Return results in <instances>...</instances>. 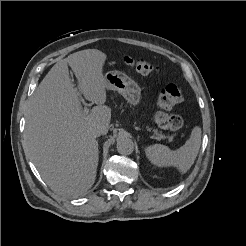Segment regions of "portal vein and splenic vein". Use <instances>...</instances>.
Masks as SVG:
<instances>
[{"label": "portal vein and splenic vein", "mask_w": 246, "mask_h": 246, "mask_svg": "<svg viewBox=\"0 0 246 246\" xmlns=\"http://www.w3.org/2000/svg\"><path fill=\"white\" fill-rule=\"evenodd\" d=\"M82 102L84 103V100H82ZM85 104V103H84ZM83 113L85 115H87L89 113V109L87 108V106L85 105L84 109H83ZM156 134V133H155ZM157 135V139H165L166 136L164 135H159V134H156Z\"/></svg>", "instance_id": "1"}]
</instances>
